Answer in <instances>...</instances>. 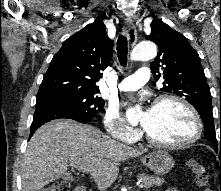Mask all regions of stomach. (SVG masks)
<instances>
[{
    "instance_id": "stomach-1",
    "label": "stomach",
    "mask_w": 221,
    "mask_h": 191,
    "mask_svg": "<svg viewBox=\"0 0 221 191\" xmlns=\"http://www.w3.org/2000/svg\"><path fill=\"white\" fill-rule=\"evenodd\" d=\"M141 162L157 175L168 173L174 166L172 156L164 150L151 152L141 158Z\"/></svg>"
}]
</instances>
